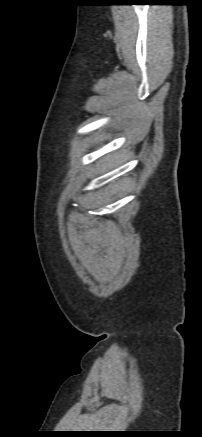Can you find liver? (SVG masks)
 <instances>
[{"mask_svg": "<svg viewBox=\"0 0 202 437\" xmlns=\"http://www.w3.org/2000/svg\"><path fill=\"white\" fill-rule=\"evenodd\" d=\"M118 157H119V154H113V155L107 156V157L104 159V162H107V164H111V163H113L114 160H115L116 158H118Z\"/></svg>", "mask_w": 202, "mask_h": 437, "instance_id": "1", "label": "liver"}]
</instances>
